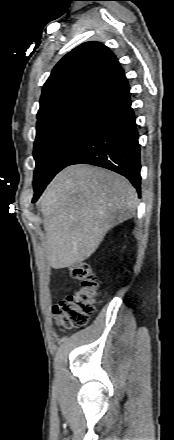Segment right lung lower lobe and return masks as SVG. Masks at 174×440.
Segmentation results:
<instances>
[{"mask_svg":"<svg viewBox=\"0 0 174 440\" xmlns=\"http://www.w3.org/2000/svg\"><path fill=\"white\" fill-rule=\"evenodd\" d=\"M91 125L73 159L67 164H91L115 171L141 190L140 145L126 77L97 95ZM47 184L34 188L35 202Z\"/></svg>","mask_w":174,"mask_h":440,"instance_id":"right-lung-lower-lobe-1","label":"right lung lower lobe"}]
</instances>
